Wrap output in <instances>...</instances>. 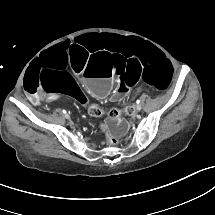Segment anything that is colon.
<instances>
[{"instance_id": "obj_1", "label": "colon", "mask_w": 215, "mask_h": 215, "mask_svg": "<svg viewBox=\"0 0 215 215\" xmlns=\"http://www.w3.org/2000/svg\"><path fill=\"white\" fill-rule=\"evenodd\" d=\"M86 111H87V114L89 116H92V117H97V116H100L103 114V111L102 109L97 106L96 104H91L89 105L87 108H86ZM129 111V109H118V108H111L107 114L109 117L111 118H118L120 117L121 115L127 113Z\"/></svg>"}]
</instances>
